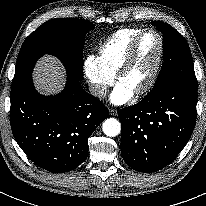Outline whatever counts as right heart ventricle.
Returning a JSON list of instances; mask_svg holds the SVG:
<instances>
[{
    "mask_svg": "<svg viewBox=\"0 0 206 206\" xmlns=\"http://www.w3.org/2000/svg\"><path fill=\"white\" fill-rule=\"evenodd\" d=\"M143 30V28L120 29L103 43L99 48L97 59L107 73L115 76L134 38Z\"/></svg>",
    "mask_w": 206,
    "mask_h": 206,
    "instance_id": "obj_1",
    "label": "right heart ventricle"
}]
</instances>
